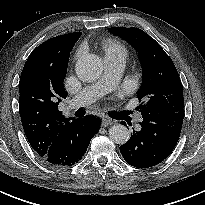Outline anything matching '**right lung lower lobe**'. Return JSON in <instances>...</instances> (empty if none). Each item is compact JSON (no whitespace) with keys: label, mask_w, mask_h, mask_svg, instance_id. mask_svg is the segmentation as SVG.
<instances>
[{"label":"right lung lower lobe","mask_w":205,"mask_h":205,"mask_svg":"<svg viewBox=\"0 0 205 205\" xmlns=\"http://www.w3.org/2000/svg\"><path fill=\"white\" fill-rule=\"evenodd\" d=\"M100 124L99 119L90 116L68 122L42 156L43 160L59 167L74 165L82 159Z\"/></svg>","instance_id":"1"}]
</instances>
